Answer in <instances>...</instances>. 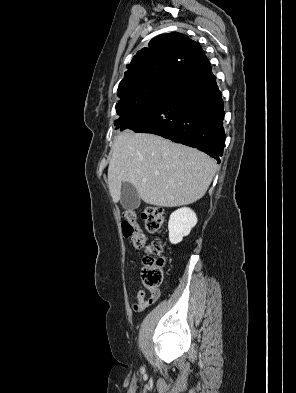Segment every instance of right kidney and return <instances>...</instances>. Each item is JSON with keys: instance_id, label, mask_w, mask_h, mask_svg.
Listing matches in <instances>:
<instances>
[{"instance_id": "obj_1", "label": "right kidney", "mask_w": 296, "mask_h": 393, "mask_svg": "<svg viewBox=\"0 0 296 393\" xmlns=\"http://www.w3.org/2000/svg\"><path fill=\"white\" fill-rule=\"evenodd\" d=\"M197 217L193 210L184 207L174 211L168 222L169 241L178 244L183 237L188 236L197 224Z\"/></svg>"}]
</instances>
